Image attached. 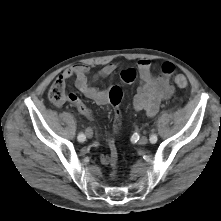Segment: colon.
Listing matches in <instances>:
<instances>
[{
    "instance_id": "colon-1",
    "label": "colon",
    "mask_w": 221,
    "mask_h": 221,
    "mask_svg": "<svg viewBox=\"0 0 221 221\" xmlns=\"http://www.w3.org/2000/svg\"><path fill=\"white\" fill-rule=\"evenodd\" d=\"M160 72L173 79L174 83L180 88L185 90L188 87V81L186 77L182 74H175L174 66L171 63H164L160 68ZM110 101L113 105H118L122 99L123 93L119 86H112L109 91ZM48 98L54 104H62L66 101L72 104H79L80 99L72 93H67L66 84L59 79H56L48 90ZM116 120L119 122V112H115ZM118 131V128H115ZM109 145V155L110 164L112 167L111 178H116L117 176V163H118V153L116 149V140L114 136H111L108 141Z\"/></svg>"
}]
</instances>
